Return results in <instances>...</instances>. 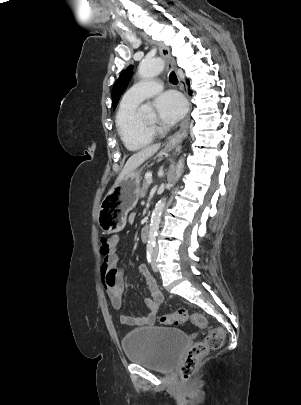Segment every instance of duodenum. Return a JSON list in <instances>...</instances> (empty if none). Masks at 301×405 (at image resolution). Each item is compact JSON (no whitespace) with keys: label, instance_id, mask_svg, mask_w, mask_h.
Returning <instances> with one entry per match:
<instances>
[{"label":"duodenum","instance_id":"obj_1","mask_svg":"<svg viewBox=\"0 0 301 405\" xmlns=\"http://www.w3.org/2000/svg\"><path fill=\"white\" fill-rule=\"evenodd\" d=\"M148 235H149V228L145 226L142 228L141 233H140L141 240L143 242H147Z\"/></svg>","mask_w":301,"mask_h":405}]
</instances>
